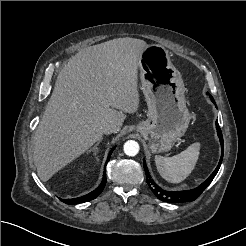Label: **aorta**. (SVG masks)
I'll use <instances>...</instances> for the list:
<instances>
[{"mask_svg":"<svg viewBox=\"0 0 246 246\" xmlns=\"http://www.w3.org/2000/svg\"><path fill=\"white\" fill-rule=\"evenodd\" d=\"M139 152V144L134 140H128L124 144V153L128 156H135Z\"/></svg>","mask_w":246,"mask_h":246,"instance_id":"1","label":"aorta"}]
</instances>
